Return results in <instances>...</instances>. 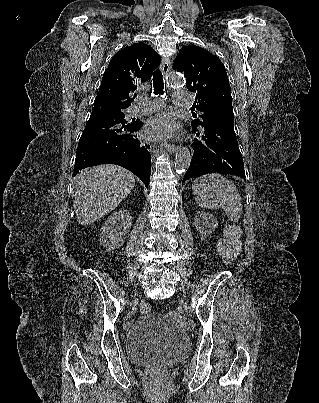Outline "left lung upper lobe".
<instances>
[{
	"instance_id": "1",
	"label": "left lung upper lobe",
	"mask_w": 319,
	"mask_h": 403,
	"mask_svg": "<svg viewBox=\"0 0 319 403\" xmlns=\"http://www.w3.org/2000/svg\"><path fill=\"white\" fill-rule=\"evenodd\" d=\"M173 68L183 72L187 88L196 93L195 107L202 112L192 126L220 116H234L230 85L221 60L209 51L194 45L183 47Z\"/></svg>"
}]
</instances>
